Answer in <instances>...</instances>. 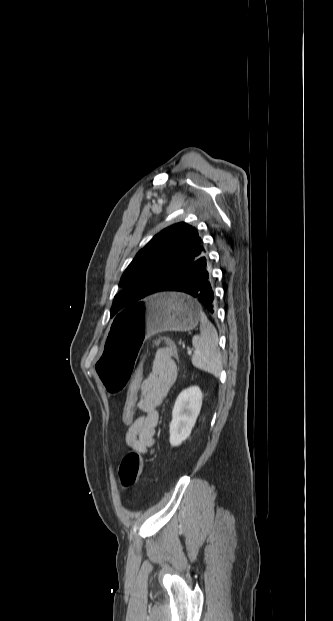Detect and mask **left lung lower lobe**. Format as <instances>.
Wrapping results in <instances>:
<instances>
[{"label":"left lung lower lobe","mask_w":333,"mask_h":621,"mask_svg":"<svg viewBox=\"0 0 333 621\" xmlns=\"http://www.w3.org/2000/svg\"><path fill=\"white\" fill-rule=\"evenodd\" d=\"M178 291L193 296L208 311L214 312V292L207 252L195 260L190 268L169 280L159 292Z\"/></svg>","instance_id":"1"}]
</instances>
